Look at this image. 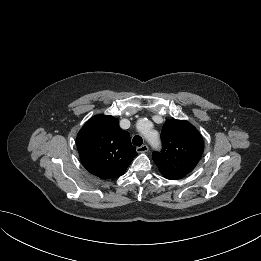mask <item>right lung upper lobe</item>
<instances>
[{"mask_svg":"<svg viewBox=\"0 0 261 261\" xmlns=\"http://www.w3.org/2000/svg\"><path fill=\"white\" fill-rule=\"evenodd\" d=\"M77 148L83 166L101 179L118 178L137 156L130 135L113 116L96 115L79 131Z\"/></svg>","mask_w":261,"mask_h":261,"instance_id":"obj_1","label":"right lung upper lobe"}]
</instances>
